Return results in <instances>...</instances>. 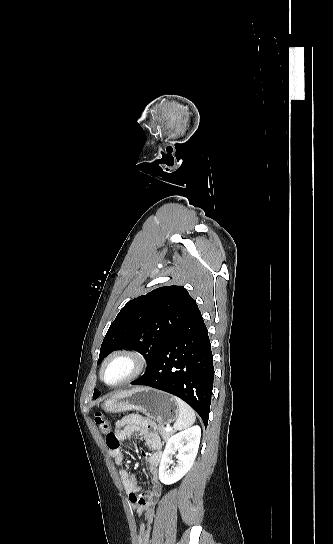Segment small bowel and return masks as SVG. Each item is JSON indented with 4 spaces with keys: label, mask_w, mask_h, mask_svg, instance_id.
<instances>
[{
    "label": "small bowel",
    "mask_w": 333,
    "mask_h": 544,
    "mask_svg": "<svg viewBox=\"0 0 333 544\" xmlns=\"http://www.w3.org/2000/svg\"><path fill=\"white\" fill-rule=\"evenodd\" d=\"M134 433H139L150 452L142 451L151 476V486L148 491L141 493L136 477L128 469L119 470V476L125 491L129 494L132 508L143 516L137 531V544H148L152 522L155 517V504L162 491L158 476V467L162 458V443L156 432V424L151 419L140 415H128L119 420L115 430L106 437V445L115 463H123L124 456L120 446L122 441L130 440Z\"/></svg>",
    "instance_id": "small-bowel-1"
}]
</instances>
